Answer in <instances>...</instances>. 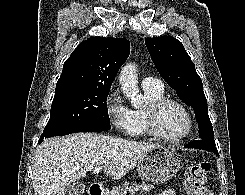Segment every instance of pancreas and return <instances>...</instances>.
<instances>
[{
    "label": "pancreas",
    "instance_id": "1",
    "mask_svg": "<svg viewBox=\"0 0 245 195\" xmlns=\"http://www.w3.org/2000/svg\"><path fill=\"white\" fill-rule=\"evenodd\" d=\"M131 185H132V187L141 188V195H143V192H148L153 187L151 184L146 183V182H142L140 184L133 183ZM129 186H130L129 183H124L121 186L115 187L113 190H111L106 195H126Z\"/></svg>",
    "mask_w": 245,
    "mask_h": 195
}]
</instances>
